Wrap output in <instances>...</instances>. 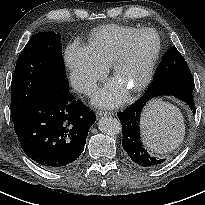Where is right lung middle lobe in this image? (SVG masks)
<instances>
[{
    "label": "right lung middle lobe",
    "instance_id": "dd1d6c3e",
    "mask_svg": "<svg viewBox=\"0 0 205 205\" xmlns=\"http://www.w3.org/2000/svg\"><path fill=\"white\" fill-rule=\"evenodd\" d=\"M69 90L60 34L40 32L32 36L20 54L11 83V117L15 123L48 94Z\"/></svg>",
    "mask_w": 205,
    "mask_h": 205
}]
</instances>
